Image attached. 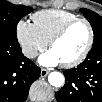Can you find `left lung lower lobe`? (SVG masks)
I'll return each instance as SVG.
<instances>
[{"mask_svg":"<svg viewBox=\"0 0 102 102\" xmlns=\"http://www.w3.org/2000/svg\"><path fill=\"white\" fill-rule=\"evenodd\" d=\"M65 85L56 92L58 102H102V45H95L86 59L65 70Z\"/></svg>","mask_w":102,"mask_h":102,"instance_id":"obj_1","label":"left lung lower lobe"}]
</instances>
